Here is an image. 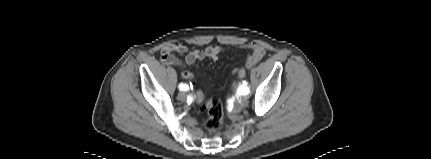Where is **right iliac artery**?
Wrapping results in <instances>:
<instances>
[{"mask_svg": "<svg viewBox=\"0 0 431 159\" xmlns=\"http://www.w3.org/2000/svg\"><path fill=\"white\" fill-rule=\"evenodd\" d=\"M179 89H180L181 91H187V90L189 89V87H188V85H187V84H183V83H181V84L179 85Z\"/></svg>", "mask_w": 431, "mask_h": 159, "instance_id": "1", "label": "right iliac artery"}]
</instances>
